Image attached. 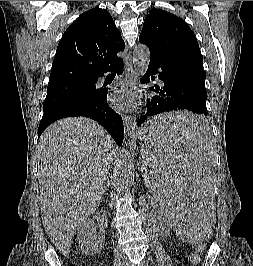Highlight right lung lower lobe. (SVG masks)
I'll use <instances>...</instances> for the list:
<instances>
[{
  "instance_id": "right-lung-lower-lobe-1",
  "label": "right lung lower lobe",
  "mask_w": 253,
  "mask_h": 266,
  "mask_svg": "<svg viewBox=\"0 0 253 266\" xmlns=\"http://www.w3.org/2000/svg\"><path fill=\"white\" fill-rule=\"evenodd\" d=\"M111 70H115L118 74L122 73L123 61L117 63L114 67L111 68ZM95 82H97V79H95ZM107 93V89H99V94L97 95L96 99L87 106H84L83 108L78 109L72 113L55 116L50 121L42 120L38 128V137H40L47 126L58 119L64 117L85 116L101 124L113 137L115 142L119 146H121L124 137L123 121L121 116L108 106Z\"/></svg>"
}]
</instances>
